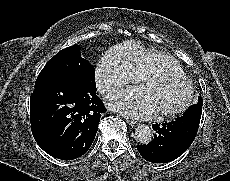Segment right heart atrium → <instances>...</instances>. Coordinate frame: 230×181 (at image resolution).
<instances>
[{
  "label": "right heart atrium",
  "instance_id": "obj_1",
  "mask_svg": "<svg viewBox=\"0 0 230 181\" xmlns=\"http://www.w3.org/2000/svg\"><path fill=\"white\" fill-rule=\"evenodd\" d=\"M96 85L100 92L111 93L120 90L135 79L124 69L114 66L105 58L101 59L95 71Z\"/></svg>",
  "mask_w": 230,
  "mask_h": 181
}]
</instances>
